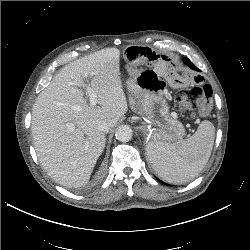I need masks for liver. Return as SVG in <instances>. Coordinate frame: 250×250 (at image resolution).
Masks as SVG:
<instances>
[{
    "label": "liver",
    "instance_id": "obj_1",
    "mask_svg": "<svg viewBox=\"0 0 250 250\" xmlns=\"http://www.w3.org/2000/svg\"><path fill=\"white\" fill-rule=\"evenodd\" d=\"M120 51L105 48L62 68L36 98L31 131L39 162L65 187L88 183L106 137L102 122L114 127L128 110L120 77ZM88 82L100 106L88 104Z\"/></svg>",
    "mask_w": 250,
    "mask_h": 250
}]
</instances>
